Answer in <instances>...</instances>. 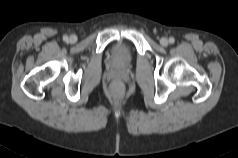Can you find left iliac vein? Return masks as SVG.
Returning <instances> with one entry per match:
<instances>
[{
    "label": "left iliac vein",
    "mask_w": 238,
    "mask_h": 158,
    "mask_svg": "<svg viewBox=\"0 0 238 158\" xmlns=\"http://www.w3.org/2000/svg\"><path fill=\"white\" fill-rule=\"evenodd\" d=\"M168 43H169V41H168L167 38L163 37V38L160 39V44H161L162 46H167Z\"/></svg>",
    "instance_id": "1"
}]
</instances>
